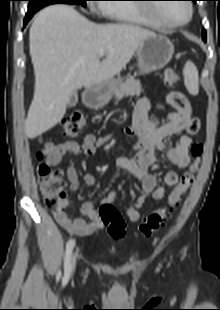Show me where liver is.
Here are the masks:
<instances>
[{
  "mask_svg": "<svg viewBox=\"0 0 220 310\" xmlns=\"http://www.w3.org/2000/svg\"><path fill=\"white\" fill-rule=\"evenodd\" d=\"M154 32L131 24L98 25L68 5L44 8L29 32L35 88L26 135L33 139L62 120L73 92L111 80ZM106 58L100 61L99 52Z\"/></svg>",
  "mask_w": 220,
  "mask_h": 310,
  "instance_id": "liver-1",
  "label": "liver"
}]
</instances>
